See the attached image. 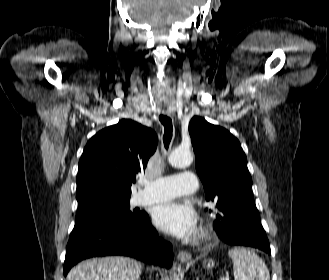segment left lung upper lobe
<instances>
[{
  "instance_id": "left-lung-upper-lobe-1",
  "label": "left lung upper lobe",
  "mask_w": 329,
  "mask_h": 280,
  "mask_svg": "<svg viewBox=\"0 0 329 280\" xmlns=\"http://www.w3.org/2000/svg\"><path fill=\"white\" fill-rule=\"evenodd\" d=\"M189 133L206 200L216 204L209 212L216 214L214 225L219 233L234 210L251 200L252 179L247 158L239 141L228 130L204 118L193 117Z\"/></svg>"
}]
</instances>
